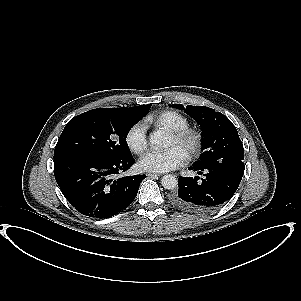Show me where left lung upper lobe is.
Returning a JSON list of instances; mask_svg holds the SVG:
<instances>
[{
    "label": "left lung upper lobe",
    "instance_id": "5c2ea615",
    "mask_svg": "<svg viewBox=\"0 0 301 301\" xmlns=\"http://www.w3.org/2000/svg\"><path fill=\"white\" fill-rule=\"evenodd\" d=\"M185 112L194 118L201 126L205 138V152L201 155V161L195 162L192 168H204L208 165L227 158L244 159L243 145L237 130L232 122L222 113L205 106L182 104L168 105Z\"/></svg>",
    "mask_w": 301,
    "mask_h": 301
}]
</instances>
